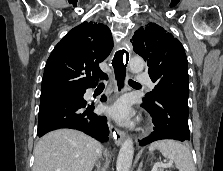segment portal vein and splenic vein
Wrapping results in <instances>:
<instances>
[{"instance_id": "1", "label": "portal vein and splenic vein", "mask_w": 223, "mask_h": 171, "mask_svg": "<svg viewBox=\"0 0 223 171\" xmlns=\"http://www.w3.org/2000/svg\"><path fill=\"white\" fill-rule=\"evenodd\" d=\"M172 166H173L172 162H167V163L157 162L154 164L152 171H158L159 167L167 168V167H172Z\"/></svg>"}]
</instances>
